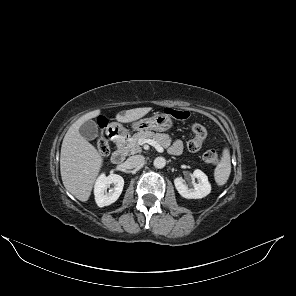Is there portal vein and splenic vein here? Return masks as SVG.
I'll return each instance as SVG.
<instances>
[{"label": "portal vein and splenic vein", "mask_w": 296, "mask_h": 296, "mask_svg": "<svg viewBox=\"0 0 296 296\" xmlns=\"http://www.w3.org/2000/svg\"><path fill=\"white\" fill-rule=\"evenodd\" d=\"M143 143L150 144V145L156 147V149H157L159 152H163V148H162L160 145H158L157 142L154 141V140H151V139H144V140H143Z\"/></svg>", "instance_id": "obj_1"}]
</instances>
